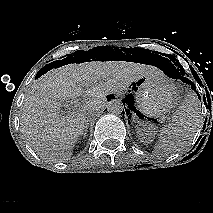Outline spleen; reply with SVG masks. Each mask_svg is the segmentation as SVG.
Returning a JSON list of instances; mask_svg holds the SVG:
<instances>
[{
    "label": "spleen",
    "mask_w": 213,
    "mask_h": 213,
    "mask_svg": "<svg viewBox=\"0 0 213 213\" xmlns=\"http://www.w3.org/2000/svg\"><path fill=\"white\" fill-rule=\"evenodd\" d=\"M200 102L194 92H189L172 116V120L161 129L157 147L171 153L189 144L201 126Z\"/></svg>",
    "instance_id": "obj_1"
}]
</instances>
